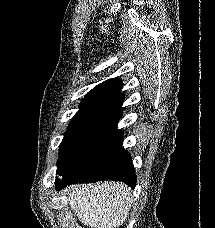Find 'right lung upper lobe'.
I'll return each mask as SVG.
<instances>
[{"label": "right lung upper lobe", "instance_id": "right-lung-upper-lobe-1", "mask_svg": "<svg viewBox=\"0 0 215 228\" xmlns=\"http://www.w3.org/2000/svg\"><path fill=\"white\" fill-rule=\"evenodd\" d=\"M122 81L109 79L94 87L79 105L68 129L93 122L117 123L121 117Z\"/></svg>", "mask_w": 215, "mask_h": 228}]
</instances>
